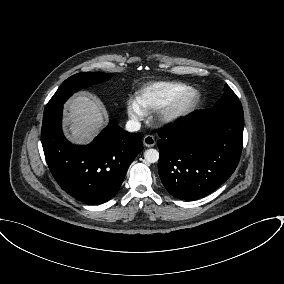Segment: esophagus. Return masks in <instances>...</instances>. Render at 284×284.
Masks as SVG:
<instances>
[{
    "mask_svg": "<svg viewBox=\"0 0 284 284\" xmlns=\"http://www.w3.org/2000/svg\"><path fill=\"white\" fill-rule=\"evenodd\" d=\"M143 144L146 147H153L155 145V138L152 135H146L143 138Z\"/></svg>",
    "mask_w": 284,
    "mask_h": 284,
    "instance_id": "1",
    "label": "esophagus"
}]
</instances>
